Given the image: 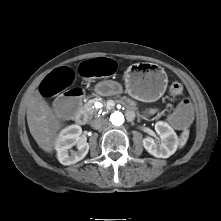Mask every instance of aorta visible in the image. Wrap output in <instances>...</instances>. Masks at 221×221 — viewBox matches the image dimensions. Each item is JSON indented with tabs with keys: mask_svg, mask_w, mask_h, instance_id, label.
Here are the masks:
<instances>
[{
	"mask_svg": "<svg viewBox=\"0 0 221 221\" xmlns=\"http://www.w3.org/2000/svg\"><path fill=\"white\" fill-rule=\"evenodd\" d=\"M110 121L115 126H120L124 123V115L121 112H114L110 116Z\"/></svg>",
	"mask_w": 221,
	"mask_h": 221,
	"instance_id": "aorta-1",
	"label": "aorta"
}]
</instances>
